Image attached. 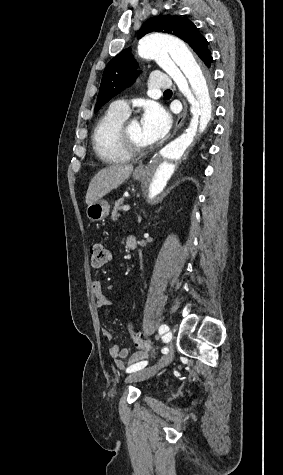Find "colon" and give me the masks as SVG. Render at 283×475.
Segmentation results:
<instances>
[{"label": "colon", "mask_w": 283, "mask_h": 475, "mask_svg": "<svg viewBox=\"0 0 283 475\" xmlns=\"http://www.w3.org/2000/svg\"><path fill=\"white\" fill-rule=\"evenodd\" d=\"M109 260V252L105 248V246L100 242H95L91 246V263L93 268H100L104 264H106ZM128 330L131 337V340L134 346L138 349L133 351V355L131 356L132 362H141L142 361V354L148 355L149 344L148 342L141 336V334L136 331L134 324L132 321L128 322Z\"/></svg>", "instance_id": "obj_1"}]
</instances>
